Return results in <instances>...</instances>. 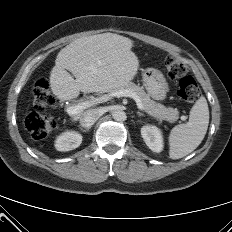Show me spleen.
<instances>
[{
    "label": "spleen",
    "instance_id": "1",
    "mask_svg": "<svg viewBox=\"0 0 232 232\" xmlns=\"http://www.w3.org/2000/svg\"><path fill=\"white\" fill-rule=\"evenodd\" d=\"M209 108L205 97L192 107L189 121L175 126L169 135V157L179 159L190 154L202 142L208 129Z\"/></svg>",
    "mask_w": 232,
    "mask_h": 232
}]
</instances>
